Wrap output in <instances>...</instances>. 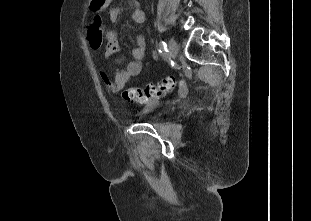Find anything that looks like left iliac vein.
I'll list each match as a JSON object with an SVG mask.
<instances>
[{
  "mask_svg": "<svg viewBox=\"0 0 311 221\" xmlns=\"http://www.w3.org/2000/svg\"><path fill=\"white\" fill-rule=\"evenodd\" d=\"M168 48L170 57L175 58L178 54V45L174 39L169 40Z\"/></svg>",
  "mask_w": 311,
  "mask_h": 221,
  "instance_id": "obj_1",
  "label": "left iliac vein"
}]
</instances>
